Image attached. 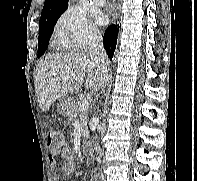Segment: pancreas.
Masks as SVG:
<instances>
[{"label":"pancreas","mask_w":197,"mask_h":181,"mask_svg":"<svg viewBox=\"0 0 197 181\" xmlns=\"http://www.w3.org/2000/svg\"><path fill=\"white\" fill-rule=\"evenodd\" d=\"M80 101H76L73 103L70 112H69V121H74L76 118L79 119L82 137L84 140L88 138V127H87V113L86 111H80Z\"/></svg>","instance_id":"1"}]
</instances>
